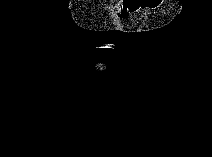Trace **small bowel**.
Here are the masks:
<instances>
[{
  "label": "small bowel",
  "instance_id": "obj_1",
  "mask_svg": "<svg viewBox=\"0 0 212 157\" xmlns=\"http://www.w3.org/2000/svg\"><path fill=\"white\" fill-rule=\"evenodd\" d=\"M158 4L159 0H125L117 5L114 14L119 19H125L139 9L155 8Z\"/></svg>",
  "mask_w": 212,
  "mask_h": 157
}]
</instances>
